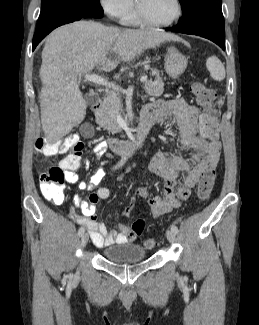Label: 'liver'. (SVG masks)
Listing matches in <instances>:
<instances>
[{"label": "liver", "mask_w": 259, "mask_h": 325, "mask_svg": "<svg viewBox=\"0 0 259 325\" xmlns=\"http://www.w3.org/2000/svg\"><path fill=\"white\" fill-rule=\"evenodd\" d=\"M165 41H182L159 30H121L93 21H76L54 30L46 39L39 71L42 82V129L54 143L69 134L86 115L78 79L94 68L110 72ZM114 54L111 60L109 55Z\"/></svg>", "instance_id": "1"}]
</instances>
